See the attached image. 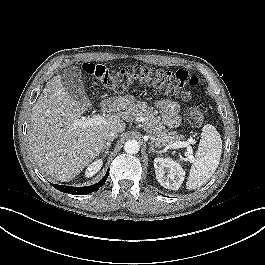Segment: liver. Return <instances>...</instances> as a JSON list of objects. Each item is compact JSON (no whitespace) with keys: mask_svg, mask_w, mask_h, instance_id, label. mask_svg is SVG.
I'll use <instances>...</instances> for the list:
<instances>
[{"mask_svg":"<svg viewBox=\"0 0 265 265\" xmlns=\"http://www.w3.org/2000/svg\"><path fill=\"white\" fill-rule=\"evenodd\" d=\"M124 101L126 98L114 100L115 110H126ZM91 105L90 100L81 103L71 97L60 75L46 84L33 107L28 130L29 148L42 172L61 182L71 181L99 156L105 132L125 130L119 115H108L99 125H76Z\"/></svg>","mask_w":265,"mask_h":265,"instance_id":"obj_1","label":"liver"}]
</instances>
